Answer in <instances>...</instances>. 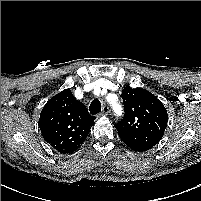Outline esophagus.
<instances>
[{
  "label": "esophagus",
  "mask_w": 201,
  "mask_h": 201,
  "mask_svg": "<svg viewBox=\"0 0 201 201\" xmlns=\"http://www.w3.org/2000/svg\"><path fill=\"white\" fill-rule=\"evenodd\" d=\"M110 113V108L108 106H104L100 115L107 116Z\"/></svg>",
  "instance_id": "1"
}]
</instances>
